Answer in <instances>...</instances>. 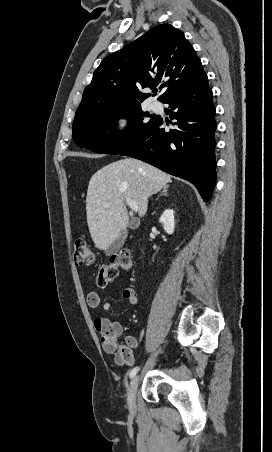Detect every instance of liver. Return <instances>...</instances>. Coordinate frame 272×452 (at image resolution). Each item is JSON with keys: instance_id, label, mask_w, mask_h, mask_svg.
Returning <instances> with one entry per match:
<instances>
[{"instance_id": "liver-1", "label": "liver", "mask_w": 272, "mask_h": 452, "mask_svg": "<svg viewBox=\"0 0 272 452\" xmlns=\"http://www.w3.org/2000/svg\"><path fill=\"white\" fill-rule=\"evenodd\" d=\"M171 182L154 166L133 158L112 162L92 175L86 197V215L91 238L106 250L128 226L125 199L138 205L139 217L147 212L148 198Z\"/></svg>"}]
</instances>
